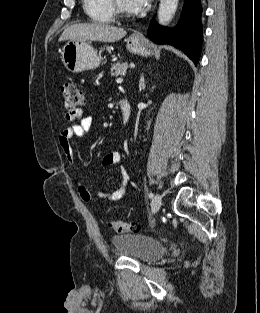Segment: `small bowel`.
<instances>
[{
  "instance_id": "obj_1",
  "label": "small bowel",
  "mask_w": 260,
  "mask_h": 313,
  "mask_svg": "<svg viewBox=\"0 0 260 313\" xmlns=\"http://www.w3.org/2000/svg\"><path fill=\"white\" fill-rule=\"evenodd\" d=\"M65 119L72 125L60 131L57 137L58 145L62 152L66 155L68 162L72 167L76 166V161L71 148V140L74 137H83L93 127L94 118L91 116H83L81 109L69 111L65 114ZM122 162V154L120 151L107 153L103 159L104 166L120 165ZM128 174L125 169L121 168L116 179L115 188L111 192L91 191L81 182L78 183V193L85 202L91 201L93 195L107 201H117L121 199L127 190Z\"/></svg>"
}]
</instances>
